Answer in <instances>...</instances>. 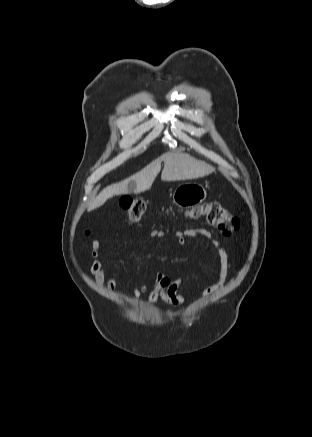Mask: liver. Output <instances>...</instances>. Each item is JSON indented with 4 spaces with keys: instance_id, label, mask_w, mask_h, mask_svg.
Returning a JSON list of instances; mask_svg holds the SVG:
<instances>
[{
    "instance_id": "obj_1",
    "label": "liver",
    "mask_w": 312,
    "mask_h": 437,
    "mask_svg": "<svg viewBox=\"0 0 312 437\" xmlns=\"http://www.w3.org/2000/svg\"><path fill=\"white\" fill-rule=\"evenodd\" d=\"M162 161L164 162L161 174L163 181L196 179L207 176L215 171L212 166L204 161L197 160L190 154L168 152L152 161L134 175L104 188L89 204L88 211L102 206L109 198L115 195L128 194L131 191L138 194L150 189L161 170ZM130 182L134 183L132 187H129Z\"/></svg>"
}]
</instances>
